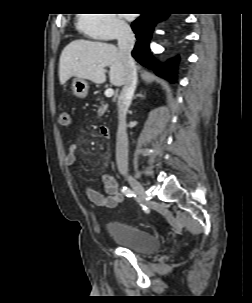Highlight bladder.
I'll list each match as a JSON object with an SVG mask.
<instances>
[{"mask_svg":"<svg viewBox=\"0 0 252 303\" xmlns=\"http://www.w3.org/2000/svg\"><path fill=\"white\" fill-rule=\"evenodd\" d=\"M107 228L117 243L131 250L149 254L160 249L161 244L158 237L138 226L112 222L108 224Z\"/></svg>","mask_w":252,"mask_h":303,"instance_id":"bladder-1","label":"bladder"}]
</instances>
